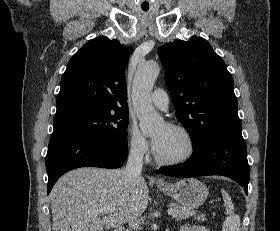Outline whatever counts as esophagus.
<instances>
[{
  "mask_svg": "<svg viewBox=\"0 0 280 231\" xmlns=\"http://www.w3.org/2000/svg\"><path fill=\"white\" fill-rule=\"evenodd\" d=\"M156 181H160V178H157Z\"/></svg>",
  "mask_w": 280,
  "mask_h": 231,
  "instance_id": "esophagus-1",
  "label": "esophagus"
}]
</instances>
